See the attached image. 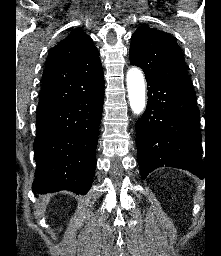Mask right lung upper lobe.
<instances>
[{"label": "right lung upper lobe", "mask_w": 221, "mask_h": 256, "mask_svg": "<svg viewBox=\"0 0 221 256\" xmlns=\"http://www.w3.org/2000/svg\"><path fill=\"white\" fill-rule=\"evenodd\" d=\"M103 88L99 52L93 40L76 29L48 54L37 112L59 107Z\"/></svg>", "instance_id": "right-lung-upper-lobe-1"}]
</instances>
